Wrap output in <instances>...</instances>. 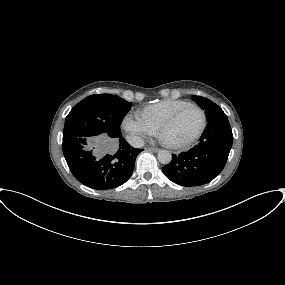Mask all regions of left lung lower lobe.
<instances>
[{
	"label": "left lung lower lobe",
	"mask_w": 285,
	"mask_h": 285,
	"mask_svg": "<svg viewBox=\"0 0 285 285\" xmlns=\"http://www.w3.org/2000/svg\"><path fill=\"white\" fill-rule=\"evenodd\" d=\"M232 142L228 118L210 120L198 145L188 152L173 154L171 162L162 171L169 180L181 186L209 183L223 170Z\"/></svg>",
	"instance_id": "1"
}]
</instances>
